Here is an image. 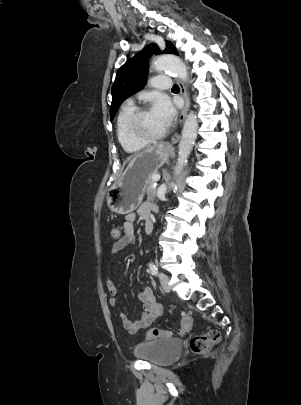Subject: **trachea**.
I'll return each mask as SVG.
<instances>
[{"instance_id":"1","label":"trachea","mask_w":301,"mask_h":405,"mask_svg":"<svg viewBox=\"0 0 301 405\" xmlns=\"http://www.w3.org/2000/svg\"><path fill=\"white\" fill-rule=\"evenodd\" d=\"M172 90H179V86L177 84L173 85Z\"/></svg>"}]
</instances>
